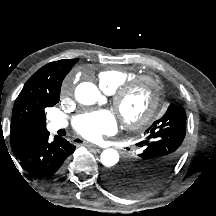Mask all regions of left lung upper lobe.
I'll use <instances>...</instances> for the list:
<instances>
[{
	"mask_svg": "<svg viewBox=\"0 0 216 216\" xmlns=\"http://www.w3.org/2000/svg\"><path fill=\"white\" fill-rule=\"evenodd\" d=\"M185 134L186 112L183 107L170 104L164 116L156 120L136 144L139 151L136 157L126 161L127 172L111 183L126 196L150 190L174 169L182 153Z\"/></svg>",
	"mask_w": 216,
	"mask_h": 216,
	"instance_id": "5c2ea615",
	"label": "left lung upper lobe"
}]
</instances>
